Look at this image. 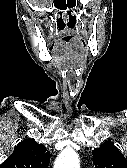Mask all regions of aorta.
<instances>
[{"mask_svg": "<svg viewBox=\"0 0 127 168\" xmlns=\"http://www.w3.org/2000/svg\"><path fill=\"white\" fill-rule=\"evenodd\" d=\"M54 168H80L76 152L71 148L65 149L57 158Z\"/></svg>", "mask_w": 127, "mask_h": 168, "instance_id": "762f6f07", "label": "aorta"}]
</instances>
